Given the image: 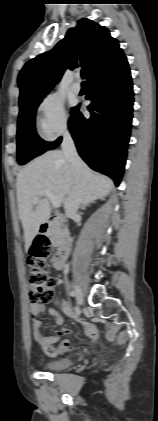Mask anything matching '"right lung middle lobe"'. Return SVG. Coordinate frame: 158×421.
<instances>
[{
  "label": "right lung middle lobe",
  "mask_w": 158,
  "mask_h": 421,
  "mask_svg": "<svg viewBox=\"0 0 158 421\" xmlns=\"http://www.w3.org/2000/svg\"><path fill=\"white\" fill-rule=\"evenodd\" d=\"M45 95L46 94L19 104L20 113L17 130V157L20 165L41 155L47 151L50 145V143L39 138L35 131L36 109Z\"/></svg>",
  "instance_id": "dd1d6c3e"
}]
</instances>
